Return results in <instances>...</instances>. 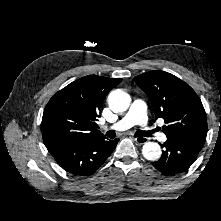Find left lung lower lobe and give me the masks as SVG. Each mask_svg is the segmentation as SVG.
I'll list each match as a JSON object with an SVG mask.
<instances>
[{
  "label": "left lung lower lobe",
  "instance_id": "1",
  "mask_svg": "<svg viewBox=\"0 0 221 221\" xmlns=\"http://www.w3.org/2000/svg\"><path fill=\"white\" fill-rule=\"evenodd\" d=\"M206 139V134L167 138L161 158L152 162L165 175H175L186 171L196 160Z\"/></svg>",
  "mask_w": 221,
  "mask_h": 221
}]
</instances>
